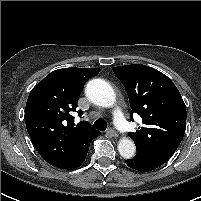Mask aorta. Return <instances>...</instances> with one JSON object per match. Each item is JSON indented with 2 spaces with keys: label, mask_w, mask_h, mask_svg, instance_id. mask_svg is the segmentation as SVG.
Instances as JSON below:
<instances>
[{
  "label": "aorta",
  "mask_w": 201,
  "mask_h": 201,
  "mask_svg": "<svg viewBox=\"0 0 201 201\" xmlns=\"http://www.w3.org/2000/svg\"><path fill=\"white\" fill-rule=\"evenodd\" d=\"M87 98L94 104L101 107H112L116 101V95L112 86L102 79L90 80L85 88ZM119 154L130 159L135 155L136 147L129 138H122L118 143Z\"/></svg>",
  "instance_id": "aorta-1"
}]
</instances>
